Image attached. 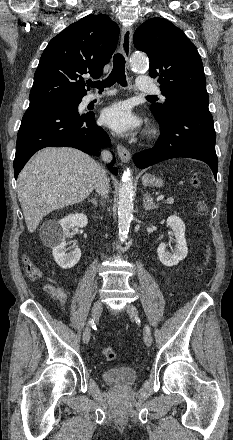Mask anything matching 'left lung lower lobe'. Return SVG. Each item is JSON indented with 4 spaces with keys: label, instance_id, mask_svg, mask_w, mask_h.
I'll list each match as a JSON object with an SVG mask.
<instances>
[{
    "label": "left lung lower lobe",
    "instance_id": "left-lung-lower-lobe-1",
    "mask_svg": "<svg viewBox=\"0 0 233 440\" xmlns=\"http://www.w3.org/2000/svg\"><path fill=\"white\" fill-rule=\"evenodd\" d=\"M156 120L161 130L159 140L153 148L133 156L137 167L143 169L176 157L194 158L207 163L216 178V135L208 107L185 105L175 109L166 121Z\"/></svg>",
    "mask_w": 233,
    "mask_h": 440
}]
</instances>
